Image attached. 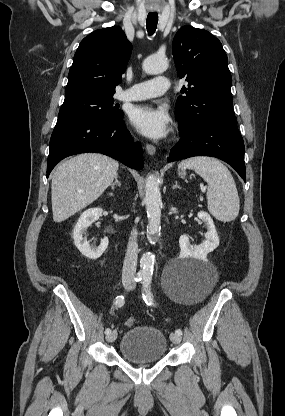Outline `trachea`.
I'll list each match as a JSON object with an SVG mask.
<instances>
[{
	"label": "trachea",
	"mask_w": 285,
	"mask_h": 416,
	"mask_svg": "<svg viewBox=\"0 0 285 416\" xmlns=\"http://www.w3.org/2000/svg\"><path fill=\"white\" fill-rule=\"evenodd\" d=\"M158 23V14L149 13L146 19V28L149 35H153L156 31Z\"/></svg>",
	"instance_id": "obj_1"
}]
</instances>
